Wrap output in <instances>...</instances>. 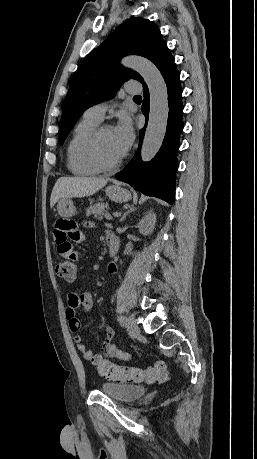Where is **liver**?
Returning <instances> with one entry per match:
<instances>
[{"label":"liver","mask_w":257,"mask_h":459,"mask_svg":"<svg viewBox=\"0 0 257 459\" xmlns=\"http://www.w3.org/2000/svg\"><path fill=\"white\" fill-rule=\"evenodd\" d=\"M108 180L95 177H61L52 190L50 206L61 198H82L95 194L107 184Z\"/></svg>","instance_id":"1"}]
</instances>
